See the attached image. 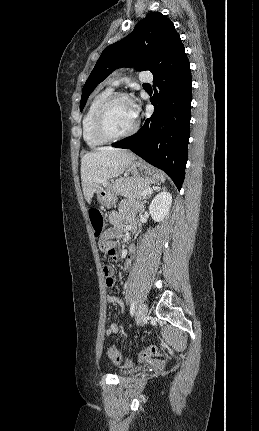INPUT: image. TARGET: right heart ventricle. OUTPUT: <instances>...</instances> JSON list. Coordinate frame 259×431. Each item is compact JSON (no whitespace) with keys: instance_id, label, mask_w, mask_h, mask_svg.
<instances>
[{"instance_id":"e07e8e85","label":"right heart ventricle","mask_w":259,"mask_h":431,"mask_svg":"<svg viewBox=\"0 0 259 431\" xmlns=\"http://www.w3.org/2000/svg\"><path fill=\"white\" fill-rule=\"evenodd\" d=\"M110 94H112L111 89H106L97 93L90 101L88 108L82 119V134L85 143L91 148H97L107 143L100 138H98L93 130V117L101 102Z\"/></svg>"}]
</instances>
